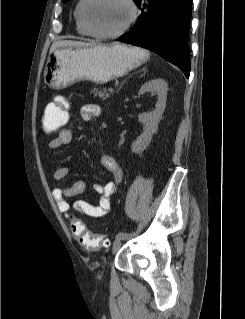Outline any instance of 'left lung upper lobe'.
Returning a JSON list of instances; mask_svg holds the SVG:
<instances>
[{
    "mask_svg": "<svg viewBox=\"0 0 245 319\" xmlns=\"http://www.w3.org/2000/svg\"><path fill=\"white\" fill-rule=\"evenodd\" d=\"M68 0H64V2H67ZM134 2H136L137 0H133Z\"/></svg>",
    "mask_w": 245,
    "mask_h": 319,
    "instance_id": "obj_1",
    "label": "left lung upper lobe"
}]
</instances>
